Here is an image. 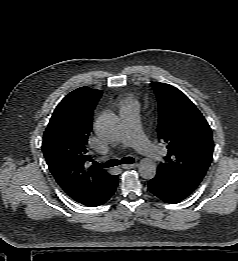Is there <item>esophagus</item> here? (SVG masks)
<instances>
[{"label":"esophagus","instance_id":"1","mask_svg":"<svg viewBox=\"0 0 238 261\" xmlns=\"http://www.w3.org/2000/svg\"><path fill=\"white\" fill-rule=\"evenodd\" d=\"M137 166H138L137 163H134V164H124V165H122V168L123 169H132V168H135Z\"/></svg>","mask_w":238,"mask_h":261}]
</instances>
